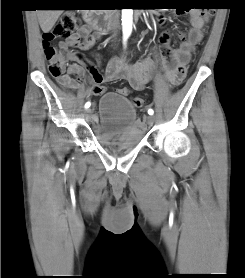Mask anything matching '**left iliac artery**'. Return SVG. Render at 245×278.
Returning <instances> with one entry per match:
<instances>
[{
  "label": "left iliac artery",
  "mask_w": 245,
  "mask_h": 278,
  "mask_svg": "<svg viewBox=\"0 0 245 278\" xmlns=\"http://www.w3.org/2000/svg\"><path fill=\"white\" fill-rule=\"evenodd\" d=\"M153 113H154V111H153L152 109H149V110H148V114H149V115H153Z\"/></svg>",
  "instance_id": "obj_1"
}]
</instances>
